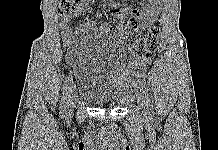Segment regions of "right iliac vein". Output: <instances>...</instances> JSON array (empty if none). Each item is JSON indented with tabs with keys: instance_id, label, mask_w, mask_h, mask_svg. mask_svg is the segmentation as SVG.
Instances as JSON below:
<instances>
[{
	"instance_id": "obj_1",
	"label": "right iliac vein",
	"mask_w": 218,
	"mask_h": 150,
	"mask_svg": "<svg viewBox=\"0 0 218 150\" xmlns=\"http://www.w3.org/2000/svg\"><path fill=\"white\" fill-rule=\"evenodd\" d=\"M76 95H77V89L76 86L72 87V90L70 92V97L67 103V107H66V113L70 115V113H72L74 105H75V100H76Z\"/></svg>"
}]
</instances>
